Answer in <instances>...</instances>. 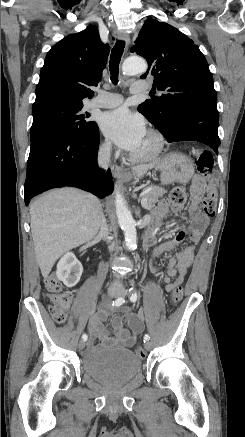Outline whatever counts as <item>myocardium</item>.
Instances as JSON below:
<instances>
[{
    "mask_svg": "<svg viewBox=\"0 0 245 437\" xmlns=\"http://www.w3.org/2000/svg\"><path fill=\"white\" fill-rule=\"evenodd\" d=\"M147 135L154 141V147L152 150L143 155L132 154V160L136 162H148L157 159L164 151L166 146V140L163 134L155 129H149Z\"/></svg>",
    "mask_w": 245,
    "mask_h": 437,
    "instance_id": "1",
    "label": "myocardium"
}]
</instances>
